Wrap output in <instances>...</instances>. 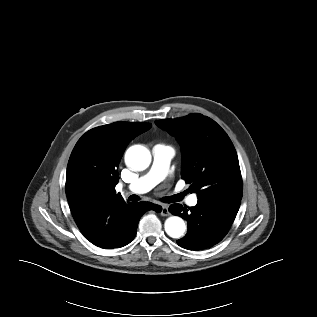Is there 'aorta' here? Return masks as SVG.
I'll list each match as a JSON object with an SVG mask.
<instances>
[{
  "label": "aorta",
  "instance_id": "aorta-1",
  "mask_svg": "<svg viewBox=\"0 0 317 317\" xmlns=\"http://www.w3.org/2000/svg\"><path fill=\"white\" fill-rule=\"evenodd\" d=\"M151 163L150 151L142 145L131 146L125 154V164L134 171H143ZM165 232L172 238H180L186 231V225L182 218L171 216L165 220Z\"/></svg>",
  "mask_w": 317,
  "mask_h": 317
}]
</instances>
